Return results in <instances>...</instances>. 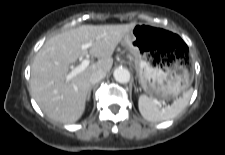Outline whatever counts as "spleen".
Here are the masks:
<instances>
[{
  "instance_id": "spleen-1",
  "label": "spleen",
  "mask_w": 225,
  "mask_h": 155,
  "mask_svg": "<svg viewBox=\"0 0 225 155\" xmlns=\"http://www.w3.org/2000/svg\"><path fill=\"white\" fill-rule=\"evenodd\" d=\"M193 89L183 93L182 97L175 100L171 105L165 108H159L155 100L146 95H141L138 99V108L142 117L151 122H161L175 118L187 106Z\"/></svg>"
}]
</instances>
